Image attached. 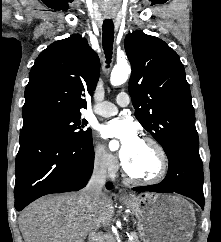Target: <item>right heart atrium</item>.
<instances>
[{"instance_id": "1", "label": "right heart atrium", "mask_w": 221, "mask_h": 242, "mask_svg": "<svg viewBox=\"0 0 221 242\" xmlns=\"http://www.w3.org/2000/svg\"><path fill=\"white\" fill-rule=\"evenodd\" d=\"M92 160L96 170L108 175L114 174L119 167L118 159L99 144L93 148Z\"/></svg>"}]
</instances>
